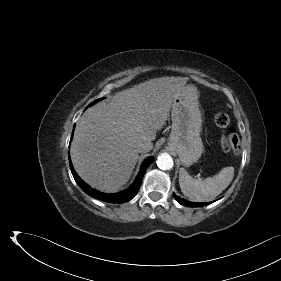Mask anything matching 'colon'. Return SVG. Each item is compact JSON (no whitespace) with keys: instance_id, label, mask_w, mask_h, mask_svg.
<instances>
[{"instance_id":"1","label":"colon","mask_w":281,"mask_h":281,"mask_svg":"<svg viewBox=\"0 0 281 281\" xmlns=\"http://www.w3.org/2000/svg\"><path fill=\"white\" fill-rule=\"evenodd\" d=\"M214 123L222 128L227 130V133L223 136L220 147L223 151H232L235 154H238L240 151V140L236 131L230 127V119L225 113H217L214 115Z\"/></svg>"}]
</instances>
